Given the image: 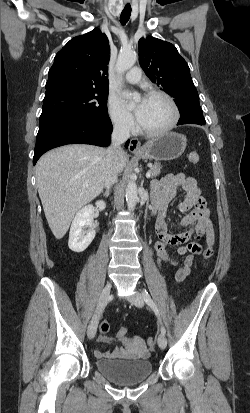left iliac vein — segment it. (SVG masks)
I'll return each instance as SVG.
<instances>
[{"instance_id": "4c4485c4", "label": "left iliac vein", "mask_w": 250, "mask_h": 413, "mask_svg": "<svg viewBox=\"0 0 250 413\" xmlns=\"http://www.w3.org/2000/svg\"><path fill=\"white\" fill-rule=\"evenodd\" d=\"M129 301L137 307H142L144 305V298L139 292H135L132 296H130ZM158 345L161 349H165L167 346V339L162 333L158 336Z\"/></svg>"}]
</instances>
